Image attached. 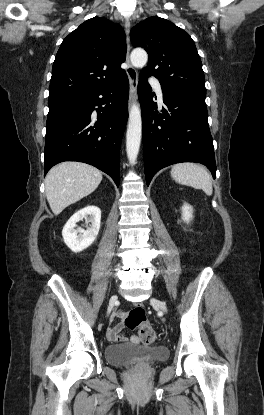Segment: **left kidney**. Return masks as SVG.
Segmentation results:
<instances>
[{
  "mask_svg": "<svg viewBox=\"0 0 264 415\" xmlns=\"http://www.w3.org/2000/svg\"><path fill=\"white\" fill-rule=\"evenodd\" d=\"M192 213V207L188 204H184V206L182 207V219L184 220V222L189 223V221L192 219Z\"/></svg>",
  "mask_w": 264,
  "mask_h": 415,
  "instance_id": "obj_1",
  "label": "left kidney"
}]
</instances>
